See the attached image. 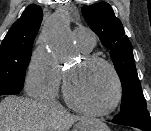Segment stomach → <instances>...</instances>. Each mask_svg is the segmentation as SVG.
<instances>
[{
  "label": "stomach",
  "instance_id": "stomach-1",
  "mask_svg": "<svg viewBox=\"0 0 151 131\" xmlns=\"http://www.w3.org/2000/svg\"><path fill=\"white\" fill-rule=\"evenodd\" d=\"M74 131H110L108 126L98 119H89L77 124Z\"/></svg>",
  "mask_w": 151,
  "mask_h": 131
}]
</instances>
